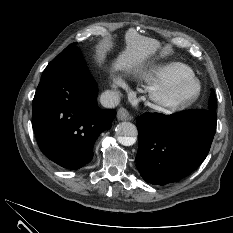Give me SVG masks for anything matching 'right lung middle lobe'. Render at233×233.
<instances>
[{
  "label": "right lung middle lobe",
  "instance_id": "1",
  "mask_svg": "<svg viewBox=\"0 0 233 233\" xmlns=\"http://www.w3.org/2000/svg\"><path fill=\"white\" fill-rule=\"evenodd\" d=\"M77 43H73L68 46L64 51H62L56 58L64 57V56H82L80 50L76 47Z\"/></svg>",
  "mask_w": 233,
  "mask_h": 233
}]
</instances>
